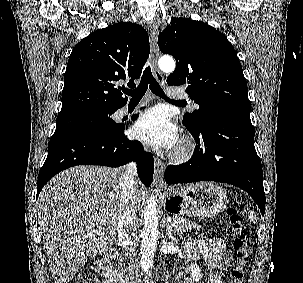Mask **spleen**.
<instances>
[{
  "label": "spleen",
  "mask_w": 303,
  "mask_h": 283,
  "mask_svg": "<svg viewBox=\"0 0 303 283\" xmlns=\"http://www.w3.org/2000/svg\"><path fill=\"white\" fill-rule=\"evenodd\" d=\"M248 218L252 222H257V215L253 211H249Z\"/></svg>",
  "instance_id": "obj_1"
}]
</instances>
